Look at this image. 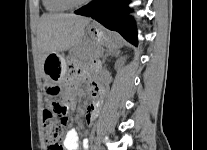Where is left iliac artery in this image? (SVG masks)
Returning <instances> with one entry per match:
<instances>
[{
    "label": "left iliac artery",
    "instance_id": "left-iliac-artery-1",
    "mask_svg": "<svg viewBox=\"0 0 207 150\" xmlns=\"http://www.w3.org/2000/svg\"><path fill=\"white\" fill-rule=\"evenodd\" d=\"M83 145H84L85 148H87L88 147V140H84Z\"/></svg>",
    "mask_w": 207,
    "mask_h": 150
}]
</instances>
